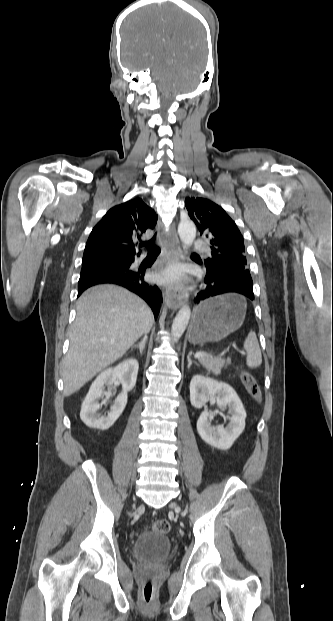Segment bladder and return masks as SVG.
<instances>
[{
  "mask_svg": "<svg viewBox=\"0 0 333 621\" xmlns=\"http://www.w3.org/2000/svg\"><path fill=\"white\" fill-rule=\"evenodd\" d=\"M171 542L164 534L146 532L141 534L130 548L136 560L162 561L170 557Z\"/></svg>",
  "mask_w": 333,
  "mask_h": 621,
  "instance_id": "bladder-1",
  "label": "bladder"
}]
</instances>
